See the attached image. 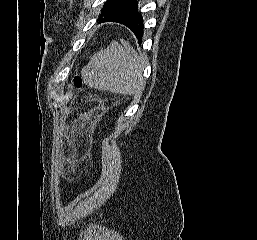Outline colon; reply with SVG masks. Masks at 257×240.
Wrapping results in <instances>:
<instances>
[{
    "instance_id": "colon-1",
    "label": "colon",
    "mask_w": 257,
    "mask_h": 240,
    "mask_svg": "<svg viewBox=\"0 0 257 240\" xmlns=\"http://www.w3.org/2000/svg\"><path fill=\"white\" fill-rule=\"evenodd\" d=\"M71 85L75 88H81L83 85V79L80 75H75L72 79Z\"/></svg>"
}]
</instances>
